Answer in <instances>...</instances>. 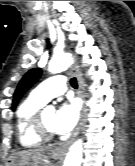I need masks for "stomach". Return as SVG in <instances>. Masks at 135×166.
Instances as JSON below:
<instances>
[{"mask_svg": "<svg viewBox=\"0 0 135 166\" xmlns=\"http://www.w3.org/2000/svg\"><path fill=\"white\" fill-rule=\"evenodd\" d=\"M51 157L58 159L59 155L52 153ZM10 162L8 163L7 166H46L42 164H33L31 163L30 165H21L22 157L20 155H13L11 159H9Z\"/></svg>", "mask_w": 135, "mask_h": 166, "instance_id": "1", "label": "stomach"}]
</instances>
